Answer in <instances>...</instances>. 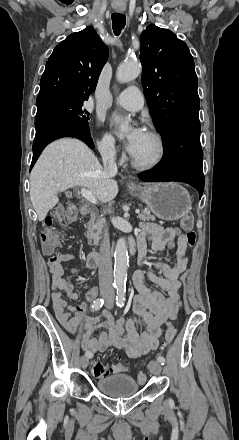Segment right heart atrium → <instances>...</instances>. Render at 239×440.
<instances>
[{
	"label": "right heart atrium",
	"instance_id": "right-heart-atrium-1",
	"mask_svg": "<svg viewBox=\"0 0 239 440\" xmlns=\"http://www.w3.org/2000/svg\"><path fill=\"white\" fill-rule=\"evenodd\" d=\"M98 148L102 156L114 158L117 155V147L112 137L104 135L97 139Z\"/></svg>",
	"mask_w": 239,
	"mask_h": 440
}]
</instances>
